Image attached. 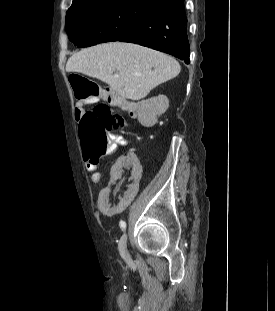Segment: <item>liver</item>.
Here are the masks:
<instances>
[{
    "label": "liver",
    "instance_id": "obj_1",
    "mask_svg": "<svg viewBox=\"0 0 275 311\" xmlns=\"http://www.w3.org/2000/svg\"><path fill=\"white\" fill-rule=\"evenodd\" d=\"M171 56L132 43H105L72 55L67 72H78L108 84L122 97L140 100L180 73ZM116 74L118 76H116Z\"/></svg>",
    "mask_w": 275,
    "mask_h": 311
}]
</instances>
